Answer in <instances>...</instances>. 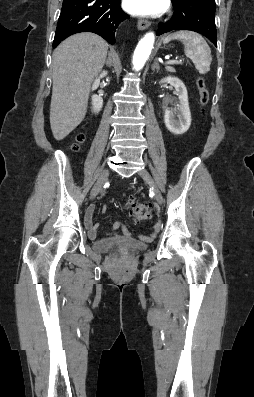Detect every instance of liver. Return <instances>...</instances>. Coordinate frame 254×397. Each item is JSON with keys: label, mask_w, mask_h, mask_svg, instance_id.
<instances>
[{"label": "liver", "mask_w": 254, "mask_h": 397, "mask_svg": "<svg viewBox=\"0 0 254 397\" xmlns=\"http://www.w3.org/2000/svg\"><path fill=\"white\" fill-rule=\"evenodd\" d=\"M107 51L106 41L94 33L72 35L54 50L50 126L56 140H63L84 119L90 85Z\"/></svg>", "instance_id": "1"}]
</instances>
